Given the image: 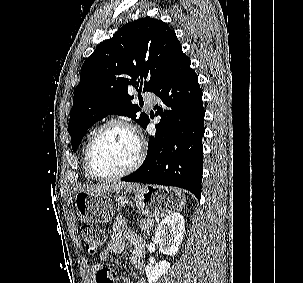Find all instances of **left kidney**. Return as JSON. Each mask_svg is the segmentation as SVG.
<instances>
[{
  "mask_svg": "<svg viewBox=\"0 0 303 283\" xmlns=\"http://www.w3.org/2000/svg\"><path fill=\"white\" fill-rule=\"evenodd\" d=\"M185 232V221L181 214L167 216L160 222L155 232V239L159 250L166 255L174 256L181 245ZM170 269V263L166 260L160 261L155 266L147 265L145 272L148 283H155Z\"/></svg>",
  "mask_w": 303,
  "mask_h": 283,
  "instance_id": "5707ae66",
  "label": "left kidney"
}]
</instances>
